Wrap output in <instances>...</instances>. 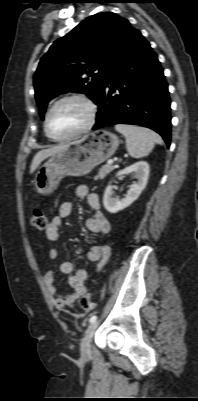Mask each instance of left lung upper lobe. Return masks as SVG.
Here are the masks:
<instances>
[{
    "label": "left lung upper lobe",
    "instance_id": "obj_1",
    "mask_svg": "<svg viewBox=\"0 0 198 401\" xmlns=\"http://www.w3.org/2000/svg\"><path fill=\"white\" fill-rule=\"evenodd\" d=\"M137 31L126 19L106 12L88 17L56 40L34 75L40 117L61 93L82 92L97 104L112 68Z\"/></svg>",
    "mask_w": 198,
    "mask_h": 401
}]
</instances>
